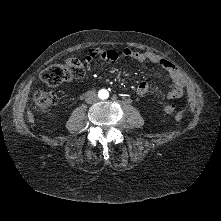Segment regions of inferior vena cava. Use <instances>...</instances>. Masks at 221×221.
Returning a JSON list of instances; mask_svg holds the SVG:
<instances>
[{"label":"inferior vena cava","mask_w":221,"mask_h":221,"mask_svg":"<svg viewBox=\"0 0 221 221\" xmlns=\"http://www.w3.org/2000/svg\"><path fill=\"white\" fill-rule=\"evenodd\" d=\"M97 100H98V96H97L96 92H94V91H87L85 93V101L87 103L91 104V103L96 102Z\"/></svg>","instance_id":"1"}]
</instances>
